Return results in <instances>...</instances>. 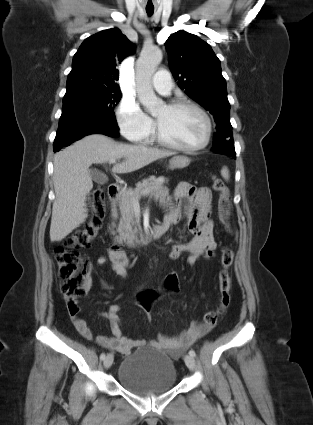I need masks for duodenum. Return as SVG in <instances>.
<instances>
[{"label": "duodenum", "mask_w": 313, "mask_h": 425, "mask_svg": "<svg viewBox=\"0 0 313 425\" xmlns=\"http://www.w3.org/2000/svg\"><path fill=\"white\" fill-rule=\"evenodd\" d=\"M108 196L110 199V202L112 204H114L118 198V194H119V186L115 183L110 184L108 186ZM166 227L164 225H157L154 226L148 233H143L139 236L138 241L136 243V245L134 247L137 246H143L145 244H147L150 240L152 239H157L160 238L165 232H166ZM113 249H118L119 246L116 242H113L111 244Z\"/></svg>", "instance_id": "obj_1"}]
</instances>
